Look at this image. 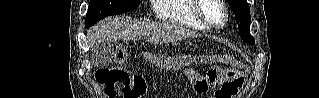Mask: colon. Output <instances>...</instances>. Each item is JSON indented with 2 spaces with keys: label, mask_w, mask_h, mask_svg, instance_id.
Here are the masks:
<instances>
[{
  "label": "colon",
  "mask_w": 319,
  "mask_h": 98,
  "mask_svg": "<svg viewBox=\"0 0 319 98\" xmlns=\"http://www.w3.org/2000/svg\"><path fill=\"white\" fill-rule=\"evenodd\" d=\"M128 53L123 46L116 49V61L123 63ZM146 60L161 69H178L186 65L189 60L180 55L164 56L151 52L145 54ZM219 62L228 65L225 68L213 66L207 73L206 79L209 87H217L214 98H233L241 89L244 77L243 72L234 66L230 57H218ZM96 81L103 88L107 97L122 95L124 98H141L145 92L144 79L132 75L122 68L112 67L100 69L96 73Z\"/></svg>",
  "instance_id": "obj_1"
}]
</instances>
